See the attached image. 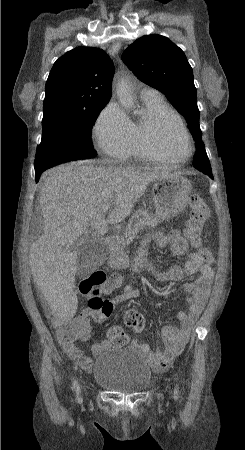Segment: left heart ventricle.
Masks as SVG:
<instances>
[{
    "label": "left heart ventricle",
    "instance_id": "left-heart-ventricle-1",
    "mask_svg": "<svg viewBox=\"0 0 245 450\" xmlns=\"http://www.w3.org/2000/svg\"><path fill=\"white\" fill-rule=\"evenodd\" d=\"M160 140L163 146L176 156L188 153L189 148L185 136L173 121H168L160 129Z\"/></svg>",
    "mask_w": 245,
    "mask_h": 450
}]
</instances>
